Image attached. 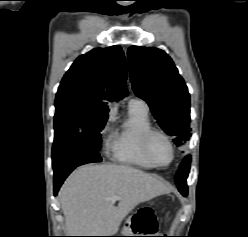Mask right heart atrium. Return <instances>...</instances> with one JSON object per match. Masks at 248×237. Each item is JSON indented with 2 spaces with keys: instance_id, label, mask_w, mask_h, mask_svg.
<instances>
[{
  "instance_id": "d8ad5b80",
  "label": "right heart atrium",
  "mask_w": 248,
  "mask_h": 237,
  "mask_svg": "<svg viewBox=\"0 0 248 237\" xmlns=\"http://www.w3.org/2000/svg\"><path fill=\"white\" fill-rule=\"evenodd\" d=\"M111 120H112V117L111 115L109 114L101 128V137H102V140H103V143L105 145V150H108V146H109V140L107 138V134L109 133V130H110V123H111Z\"/></svg>"
}]
</instances>
